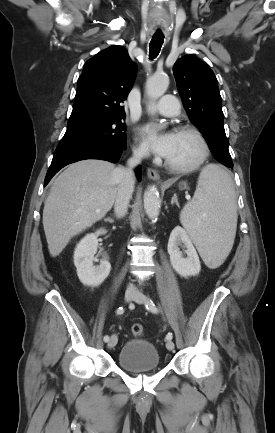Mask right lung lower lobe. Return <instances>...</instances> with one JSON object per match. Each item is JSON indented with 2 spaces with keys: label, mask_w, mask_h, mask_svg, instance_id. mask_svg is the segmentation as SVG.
<instances>
[{
  "label": "right lung lower lobe",
  "mask_w": 275,
  "mask_h": 433,
  "mask_svg": "<svg viewBox=\"0 0 275 433\" xmlns=\"http://www.w3.org/2000/svg\"><path fill=\"white\" fill-rule=\"evenodd\" d=\"M126 146L103 145L92 147H73L62 148L55 150L52 163L46 174L44 186H46L51 178L64 166L84 160V159H101L116 163ZM136 174L138 179H141V168H137Z\"/></svg>",
  "instance_id": "98d812e1"
}]
</instances>
